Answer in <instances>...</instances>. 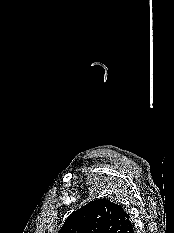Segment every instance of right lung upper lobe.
<instances>
[{"instance_id": "cb5924a9", "label": "right lung upper lobe", "mask_w": 174, "mask_h": 233, "mask_svg": "<svg viewBox=\"0 0 174 233\" xmlns=\"http://www.w3.org/2000/svg\"><path fill=\"white\" fill-rule=\"evenodd\" d=\"M58 233H134V228L121 205L100 198L74 211Z\"/></svg>"}]
</instances>
